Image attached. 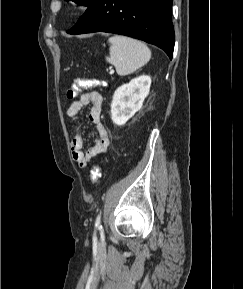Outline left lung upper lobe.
<instances>
[{
	"label": "left lung upper lobe",
	"instance_id": "5c2ea615",
	"mask_svg": "<svg viewBox=\"0 0 243 289\" xmlns=\"http://www.w3.org/2000/svg\"><path fill=\"white\" fill-rule=\"evenodd\" d=\"M77 4L88 6L93 0H72Z\"/></svg>",
	"mask_w": 243,
	"mask_h": 289
}]
</instances>
